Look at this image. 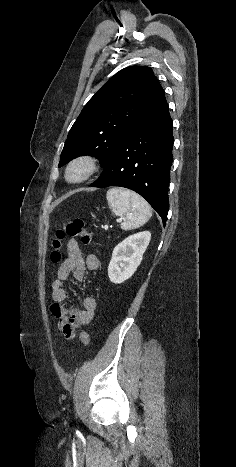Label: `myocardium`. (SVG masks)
I'll use <instances>...</instances> for the list:
<instances>
[{
    "mask_svg": "<svg viewBox=\"0 0 236 467\" xmlns=\"http://www.w3.org/2000/svg\"><path fill=\"white\" fill-rule=\"evenodd\" d=\"M76 167H81L83 169V173L80 177L72 179L70 178V173ZM99 167V161L94 155H78L66 164L64 169V179L68 184L71 185L82 184L92 178L99 170Z\"/></svg>",
    "mask_w": 236,
    "mask_h": 467,
    "instance_id": "1",
    "label": "myocardium"
}]
</instances>
